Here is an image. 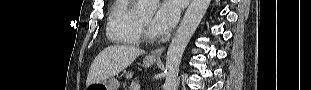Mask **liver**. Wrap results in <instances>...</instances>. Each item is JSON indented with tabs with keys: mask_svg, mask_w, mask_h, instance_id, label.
<instances>
[{
	"mask_svg": "<svg viewBox=\"0 0 311 90\" xmlns=\"http://www.w3.org/2000/svg\"><path fill=\"white\" fill-rule=\"evenodd\" d=\"M143 53L144 50L130 45H113L105 48L92 62L86 86L118 75Z\"/></svg>",
	"mask_w": 311,
	"mask_h": 90,
	"instance_id": "6515ba94",
	"label": "liver"
}]
</instances>
